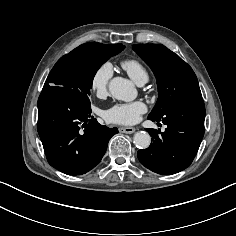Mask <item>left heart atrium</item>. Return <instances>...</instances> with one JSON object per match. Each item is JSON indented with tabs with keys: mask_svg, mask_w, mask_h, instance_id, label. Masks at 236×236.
Returning a JSON list of instances; mask_svg holds the SVG:
<instances>
[{
	"mask_svg": "<svg viewBox=\"0 0 236 236\" xmlns=\"http://www.w3.org/2000/svg\"><path fill=\"white\" fill-rule=\"evenodd\" d=\"M146 110L147 106L141 100L133 102H118L109 107L105 111L104 116L109 122L131 125L137 123Z\"/></svg>",
	"mask_w": 236,
	"mask_h": 236,
	"instance_id": "obj_1",
	"label": "left heart atrium"
}]
</instances>
